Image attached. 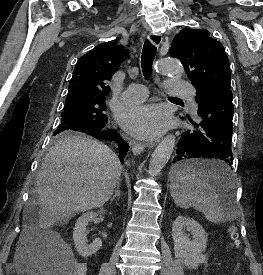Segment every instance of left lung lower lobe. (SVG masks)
Instances as JSON below:
<instances>
[{
  "label": "left lung lower lobe",
  "instance_id": "1",
  "mask_svg": "<svg viewBox=\"0 0 263 275\" xmlns=\"http://www.w3.org/2000/svg\"><path fill=\"white\" fill-rule=\"evenodd\" d=\"M198 115L201 122L196 124L189 122L195 130H185L177 143L174 161L184 162L194 158L220 159L225 166L232 164L231 141L233 133V103L230 89H219L216 92L203 97L198 102ZM187 166V164H184ZM178 166L174 172L176 177L195 174L201 179L221 183L225 176L220 169H207L191 166Z\"/></svg>",
  "mask_w": 263,
  "mask_h": 275
}]
</instances>
